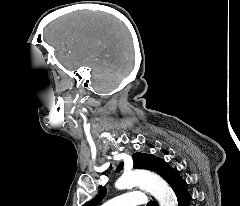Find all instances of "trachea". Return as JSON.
Instances as JSON below:
<instances>
[{"mask_svg":"<svg viewBox=\"0 0 240 206\" xmlns=\"http://www.w3.org/2000/svg\"><path fill=\"white\" fill-rule=\"evenodd\" d=\"M147 206H152V203H151V202H149V203L147 204Z\"/></svg>","mask_w":240,"mask_h":206,"instance_id":"1","label":"trachea"}]
</instances>
